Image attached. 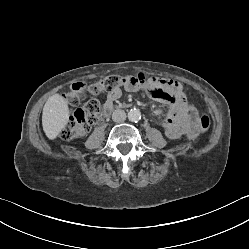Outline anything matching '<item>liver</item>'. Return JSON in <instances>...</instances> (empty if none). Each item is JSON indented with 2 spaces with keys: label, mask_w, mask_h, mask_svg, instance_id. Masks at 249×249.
Instances as JSON below:
<instances>
[{
  "label": "liver",
  "mask_w": 249,
  "mask_h": 249,
  "mask_svg": "<svg viewBox=\"0 0 249 249\" xmlns=\"http://www.w3.org/2000/svg\"><path fill=\"white\" fill-rule=\"evenodd\" d=\"M69 119L68 102L59 94L48 98L42 113V126L46 136L53 140L66 127Z\"/></svg>",
  "instance_id": "6515ba94"
}]
</instances>
